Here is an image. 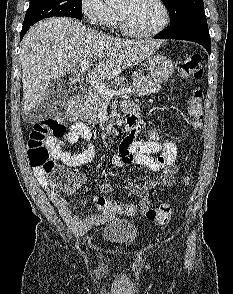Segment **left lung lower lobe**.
I'll return each mask as SVG.
<instances>
[{"label":"left lung lower lobe","instance_id":"obj_1","mask_svg":"<svg viewBox=\"0 0 233 294\" xmlns=\"http://www.w3.org/2000/svg\"><path fill=\"white\" fill-rule=\"evenodd\" d=\"M155 38L189 40L202 45L209 54L211 52V39L207 22L185 23L173 29L163 30Z\"/></svg>","mask_w":233,"mask_h":294}]
</instances>
